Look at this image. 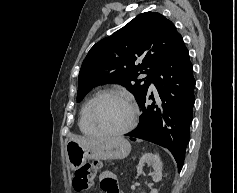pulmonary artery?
Returning a JSON list of instances; mask_svg holds the SVG:
<instances>
[{"instance_id":"e3ab8cb5","label":"pulmonary artery","mask_w":237,"mask_h":193,"mask_svg":"<svg viewBox=\"0 0 237 193\" xmlns=\"http://www.w3.org/2000/svg\"><path fill=\"white\" fill-rule=\"evenodd\" d=\"M151 88L154 89V84L153 83L151 84Z\"/></svg>"}]
</instances>
